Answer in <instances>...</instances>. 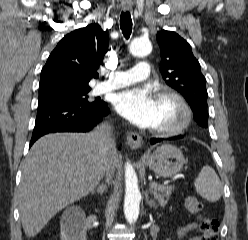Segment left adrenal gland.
<instances>
[{"label":"left adrenal gland","instance_id":"obj_1","mask_svg":"<svg viewBox=\"0 0 248 240\" xmlns=\"http://www.w3.org/2000/svg\"><path fill=\"white\" fill-rule=\"evenodd\" d=\"M145 198H146V203L153 208H157V204L153 201L149 199V191L147 190L145 193Z\"/></svg>","mask_w":248,"mask_h":240}]
</instances>
